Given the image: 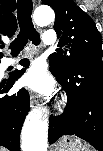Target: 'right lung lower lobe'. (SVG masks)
Listing matches in <instances>:
<instances>
[{
  "instance_id": "right-lung-lower-lobe-1",
  "label": "right lung lower lobe",
  "mask_w": 103,
  "mask_h": 151,
  "mask_svg": "<svg viewBox=\"0 0 103 151\" xmlns=\"http://www.w3.org/2000/svg\"><path fill=\"white\" fill-rule=\"evenodd\" d=\"M25 66L27 68L29 62ZM24 71H16L9 78L0 80V145L11 151H20V130L29 111L30 98L25 89L12 95L7 92Z\"/></svg>"
}]
</instances>
